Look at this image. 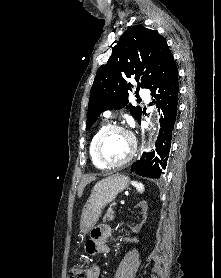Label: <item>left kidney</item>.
Returning <instances> with one entry per match:
<instances>
[{"label": "left kidney", "instance_id": "obj_1", "mask_svg": "<svg viewBox=\"0 0 221 278\" xmlns=\"http://www.w3.org/2000/svg\"><path fill=\"white\" fill-rule=\"evenodd\" d=\"M138 206L142 207L143 208V211H144V217L146 218V211H147V203L145 201H142L138 204Z\"/></svg>", "mask_w": 221, "mask_h": 278}]
</instances>
